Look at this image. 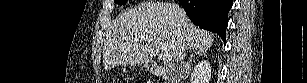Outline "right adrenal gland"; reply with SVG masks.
Wrapping results in <instances>:
<instances>
[{
	"label": "right adrenal gland",
	"instance_id": "1",
	"mask_svg": "<svg viewBox=\"0 0 307 83\" xmlns=\"http://www.w3.org/2000/svg\"><path fill=\"white\" fill-rule=\"evenodd\" d=\"M196 55H198V56H202V55L206 56L207 55V49L194 50V52L191 55L190 60H189L190 63L192 61V58L195 57Z\"/></svg>",
	"mask_w": 307,
	"mask_h": 83
}]
</instances>
